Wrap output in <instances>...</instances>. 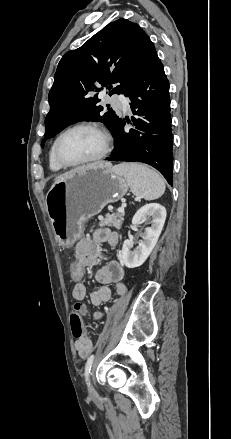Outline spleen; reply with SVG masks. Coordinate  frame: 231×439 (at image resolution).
<instances>
[{
	"label": "spleen",
	"instance_id": "obj_1",
	"mask_svg": "<svg viewBox=\"0 0 231 439\" xmlns=\"http://www.w3.org/2000/svg\"><path fill=\"white\" fill-rule=\"evenodd\" d=\"M122 174L132 193L145 200H155L165 191L164 179L156 171L138 163H122L113 167Z\"/></svg>",
	"mask_w": 231,
	"mask_h": 439
}]
</instances>
